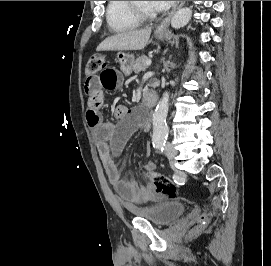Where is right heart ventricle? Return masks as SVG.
Returning <instances> with one entry per match:
<instances>
[{"label": "right heart ventricle", "instance_id": "e07e8e85", "mask_svg": "<svg viewBox=\"0 0 271 266\" xmlns=\"http://www.w3.org/2000/svg\"><path fill=\"white\" fill-rule=\"evenodd\" d=\"M108 26L115 32H128L140 26L129 11L127 1H108L106 9Z\"/></svg>", "mask_w": 271, "mask_h": 266}]
</instances>
